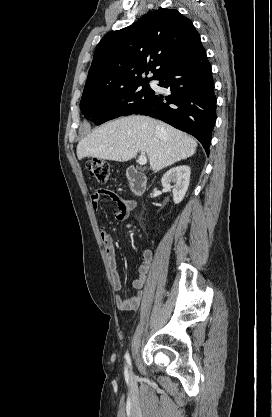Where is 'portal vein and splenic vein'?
Wrapping results in <instances>:
<instances>
[{
    "instance_id": "obj_1",
    "label": "portal vein and splenic vein",
    "mask_w": 272,
    "mask_h": 417,
    "mask_svg": "<svg viewBox=\"0 0 272 417\" xmlns=\"http://www.w3.org/2000/svg\"><path fill=\"white\" fill-rule=\"evenodd\" d=\"M138 163L139 165H145L147 163V158L143 151L141 152V155L138 158Z\"/></svg>"
}]
</instances>
